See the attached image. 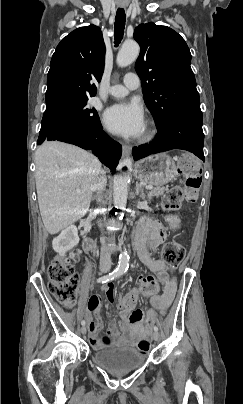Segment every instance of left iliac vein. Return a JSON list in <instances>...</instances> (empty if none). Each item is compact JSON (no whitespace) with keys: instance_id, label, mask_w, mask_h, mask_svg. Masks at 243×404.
<instances>
[{"instance_id":"1","label":"left iliac vein","mask_w":243,"mask_h":404,"mask_svg":"<svg viewBox=\"0 0 243 404\" xmlns=\"http://www.w3.org/2000/svg\"><path fill=\"white\" fill-rule=\"evenodd\" d=\"M153 339H154L155 341H159V339H160V334L155 331V332L153 333Z\"/></svg>"}]
</instances>
